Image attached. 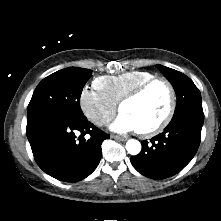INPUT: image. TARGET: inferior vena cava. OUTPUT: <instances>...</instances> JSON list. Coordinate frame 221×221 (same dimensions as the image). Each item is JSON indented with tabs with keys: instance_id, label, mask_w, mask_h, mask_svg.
I'll list each match as a JSON object with an SVG mask.
<instances>
[{
	"instance_id": "602c4592",
	"label": "inferior vena cava",
	"mask_w": 221,
	"mask_h": 221,
	"mask_svg": "<svg viewBox=\"0 0 221 221\" xmlns=\"http://www.w3.org/2000/svg\"><path fill=\"white\" fill-rule=\"evenodd\" d=\"M100 121H101V123H104V124L109 122V121L106 120V119H101Z\"/></svg>"
}]
</instances>
